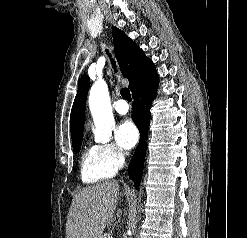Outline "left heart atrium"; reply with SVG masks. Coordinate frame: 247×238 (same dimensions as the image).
Instances as JSON below:
<instances>
[{"instance_id":"1","label":"left heart atrium","mask_w":247,"mask_h":238,"mask_svg":"<svg viewBox=\"0 0 247 238\" xmlns=\"http://www.w3.org/2000/svg\"><path fill=\"white\" fill-rule=\"evenodd\" d=\"M115 137L122 149L129 150L137 143L139 134L135 125L131 121L125 120L117 127Z\"/></svg>"}]
</instances>
